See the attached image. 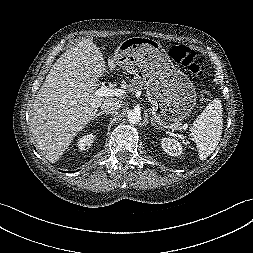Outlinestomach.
<instances>
[{
	"mask_svg": "<svg viewBox=\"0 0 253 253\" xmlns=\"http://www.w3.org/2000/svg\"><path fill=\"white\" fill-rule=\"evenodd\" d=\"M114 57L122 69L144 81L152 118L160 127L179 126L194 108L193 83L174 66L160 42L129 38L118 45Z\"/></svg>",
	"mask_w": 253,
	"mask_h": 253,
	"instance_id": "obj_1",
	"label": "stomach"
}]
</instances>
